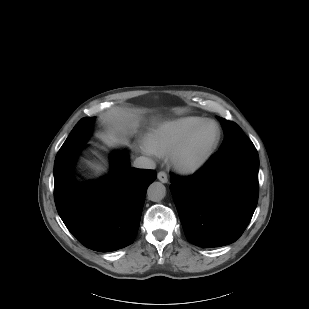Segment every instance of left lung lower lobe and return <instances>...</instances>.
<instances>
[{"mask_svg": "<svg viewBox=\"0 0 309 309\" xmlns=\"http://www.w3.org/2000/svg\"><path fill=\"white\" fill-rule=\"evenodd\" d=\"M259 157L254 145L214 155L192 177L171 175V191L186 238L200 247L235 242L258 201Z\"/></svg>", "mask_w": 309, "mask_h": 309, "instance_id": "left-lung-lower-lobe-1", "label": "left lung lower lobe"}]
</instances>
